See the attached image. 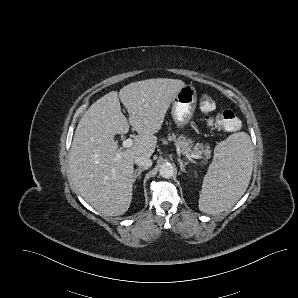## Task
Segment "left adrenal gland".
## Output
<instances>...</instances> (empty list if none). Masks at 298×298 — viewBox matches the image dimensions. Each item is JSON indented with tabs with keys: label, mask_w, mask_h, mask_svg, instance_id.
<instances>
[{
	"label": "left adrenal gland",
	"mask_w": 298,
	"mask_h": 298,
	"mask_svg": "<svg viewBox=\"0 0 298 298\" xmlns=\"http://www.w3.org/2000/svg\"><path fill=\"white\" fill-rule=\"evenodd\" d=\"M180 164V170L185 171V165L188 163V161H183L181 158L177 159Z\"/></svg>",
	"instance_id": "left-adrenal-gland-1"
}]
</instances>
